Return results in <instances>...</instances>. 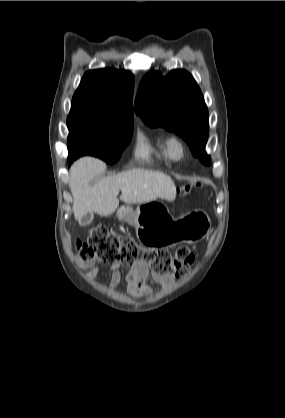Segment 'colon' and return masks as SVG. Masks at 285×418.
I'll return each mask as SVG.
<instances>
[{
  "mask_svg": "<svg viewBox=\"0 0 285 418\" xmlns=\"http://www.w3.org/2000/svg\"><path fill=\"white\" fill-rule=\"evenodd\" d=\"M76 251L81 262H119L131 267L138 263L148 265L158 277L180 278L187 274L195 256L188 247L176 248L173 255L160 249L140 247L135 241L110 233L105 226L91 227L85 240L77 238Z\"/></svg>",
  "mask_w": 285,
  "mask_h": 418,
  "instance_id": "5ec220e1",
  "label": "colon"
}]
</instances>
